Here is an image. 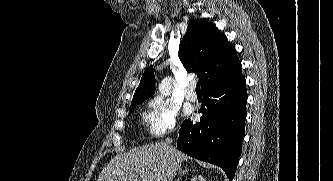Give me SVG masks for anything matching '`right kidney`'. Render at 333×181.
<instances>
[{
  "label": "right kidney",
  "mask_w": 333,
  "mask_h": 181,
  "mask_svg": "<svg viewBox=\"0 0 333 181\" xmlns=\"http://www.w3.org/2000/svg\"><path fill=\"white\" fill-rule=\"evenodd\" d=\"M190 181H206L202 175L194 176Z\"/></svg>",
  "instance_id": "right-kidney-1"
}]
</instances>
